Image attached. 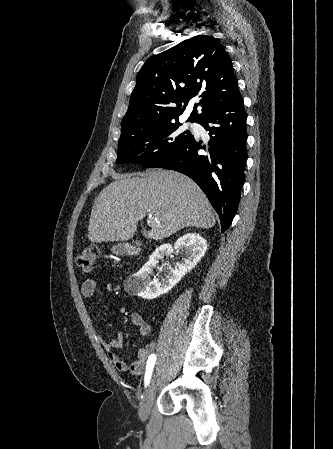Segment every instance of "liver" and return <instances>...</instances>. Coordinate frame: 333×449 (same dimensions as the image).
Masks as SVG:
<instances>
[{
    "label": "liver",
    "instance_id": "liver-1",
    "mask_svg": "<svg viewBox=\"0 0 333 449\" xmlns=\"http://www.w3.org/2000/svg\"><path fill=\"white\" fill-rule=\"evenodd\" d=\"M147 214H152L147 220L151 230L143 228L141 233L154 240L184 227L215 225L210 202L192 179L153 169L121 176L100 192L92 207L88 238L96 243L129 240Z\"/></svg>",
    "mask_w": 333,
    "mask_h": 449
}]
</instances>
